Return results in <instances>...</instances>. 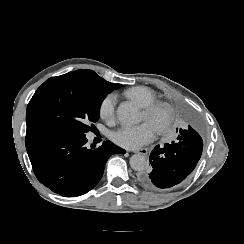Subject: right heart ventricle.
<instances>
[{
	"instance_id": "1",
	"label": "right heart ventricle",
	"mask_w": 244,
	"mask_h": 244,
	"mask_svg": "<svg viewBox=\"0 0 244 244\" xmlns=\"http://www.w3.org/2000/svg\"><path fill=\"white\" fill-rule=\"evenodd\" d=\"M123 94L125 97L138 103L141 107H147L156 103V98L152 90L144 86L129 88Z\"/></svg>"
}]
</instances>
